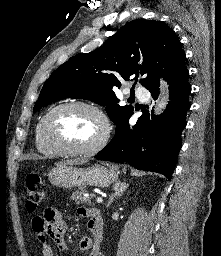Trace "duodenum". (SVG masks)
<instances>
[{
  "label": "duodenum",
  "instance_id": "410a0bca",
  "mask_svg": "<svg viewBox=\"0 0 221 256\" xmlns=\"http://www.w3.org/2000/svg\"><path fill=\"white\" fill-rule=\"evenodd\" d=\"M97 218H98V220H99L100 222H102L100 213H98ZM99 231H101V228H99Z\"/></svg>",
  "mask_w": 221,
  "mask_h": 256
}]
</instances>
